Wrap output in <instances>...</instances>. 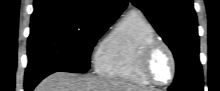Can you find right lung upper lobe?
<instances>
[{
	"instance_id": "1",
	"label": "right lung upper lobe",
	"mask_w": 220,
	"mask_h": 91,
	"mask_svg": "<svg viewBox=\"0 0 220 91\" xmlns=\"http://www.w3.org/2000/svg\"><path fill=\"white\" fill-rule=\"evenodd\" d=\"M126 6L127 0H35L31 25L54 20L112 25Z\"/></svg>"
}]
</instances>
